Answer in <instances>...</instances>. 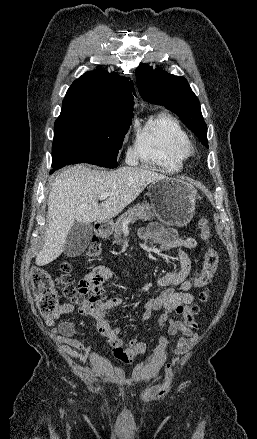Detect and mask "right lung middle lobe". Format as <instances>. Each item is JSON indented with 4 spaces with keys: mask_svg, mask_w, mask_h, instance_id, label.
I'll return each mask as SVG.
<instances>
[{
    "mask_svg": "<svg viewBox=\"0 0 257 439\" xmlns=\"http://www.w3.org/2000/svg\"><path fill=\"white\" fill-rule=\"evenodd\" d=\"M133 114L121 117L75 113L59 116L54 125L52 167L90 163L102 167L118 166L117 155Z\"/></svg>",
    "mask_w": 257,
    "mask_h": 439,
    "instance_id": "obj_1",
    "label": "right lung middle lobe"
}]
</instances>
